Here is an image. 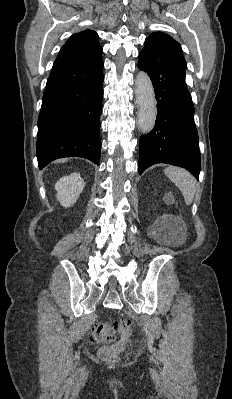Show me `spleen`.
Segmentation results:
<instances>
[{
  "label": "spleen",
  "instance_id": "1",
  "mask_svg": "<svg viewBox=\"0 0 232 399\" xmlns=\"http://www.w3.org/2000/svg\"><path fill=\"white\" fill-rule=\"evenodd\" d=\"M167 178L179 188L184 196L185 203H192L195 196V180L187 170H182V168H175V166H169L164 170Z\"/></svg>",
  "mask_w": 232,
  "mask_h": 399
}]
</instances>
